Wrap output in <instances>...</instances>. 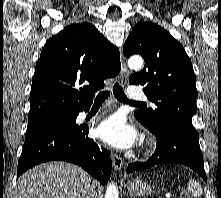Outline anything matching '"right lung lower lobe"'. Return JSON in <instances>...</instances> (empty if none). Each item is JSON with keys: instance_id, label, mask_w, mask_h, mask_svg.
<instances>
[{"instance_id": "right-lung-lower-lobe-1", "label": "right lung lower lobe", "mask_w": 221, "mask_h": 198, "mask_svg": "<svg viewBox=\"0 0 221 198\" xmlns=\"http://www.w3.org/2000/svg\"><path fill=\"white\" fill-rule=\"evenodd\" d=\"M88 132L87 125H74L48 129L25 139L17 178L37 164L60 160L81 166L102 184H107L112 167L110 154L89 139Z\"/></svg>"}]
</instances>
